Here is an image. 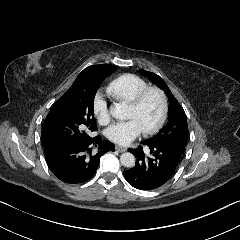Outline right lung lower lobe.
Masks as SVG:
<instances>
[{
    "instance_id": "obj_1",
    "label": "right lung lower lobe",
    "mask_w": 240,
    "mask_h": 240,
    "mask_svg": "<svg viewBox=\"0 0 240 240\" xmlns=\"http://www.w3.org/2000/svg\"><path fill=\"white\" fill-rule=\"evenodd\" d=\"M45 159L53 174L68 184L88 181L95 174L100 157L115 151L112 142L100 136L86 141H56L44 144ZM93 148H97L92 152Z\"/></svg>"
}]
</instances>
